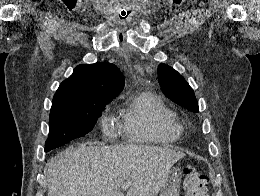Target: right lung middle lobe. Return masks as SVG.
I'll list each match as a JSON object with an SVG mask.
<instances>
[{
	"label": "right lung middle lobe",
	"mask_w": 260,
	"mask_h": 196,
	"mask_svg": "<svg viewBox=\"0 0 260 196\" xmlns=\"http://www.w3.org/2000/svg\"><path fill=\"white\" fill-rule=\"evenodd\" d=\"M108 102L51 107L49 137L45 151L60 147L89 133Z\"/></svg>",
	"instance_id": "dd1d6c3e"
}]
</instances>
